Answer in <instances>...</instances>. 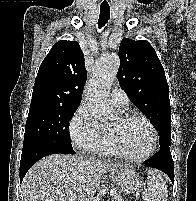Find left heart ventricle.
Listing matches in <instances>:
<instances>
[{
	"label": "left heart ventricle",
	"mask_w": 196,
	"mask_h": 201,
	"mask_svg": "<svg viewBox=\"0 0 196 201\" xmlns=\"http://www.w3.org/2000/svg\"><path fill=\"white\" fill-rule=\"evenodd\" d=\"M123 149L132 156L145 154L152 145L150 128L142 121L123 123L118 118L110 127Z\"/></svg>",
	"instance_id": "b2bd125f"
}]
</instances>
